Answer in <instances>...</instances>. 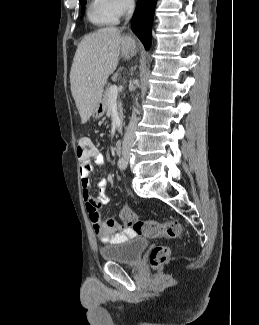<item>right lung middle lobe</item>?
<instances>
[{"instance_id": "dd1d6c3e", "label": "right lung middle lobe", "mask_w": 259, "mask_h": 325, "mask_svg": "<svg viewBox=\"0 0 259 325\" xmlns=\"http://www.w3.org/2000/svg\"><path fill=\"white\" fill-rule=\"evenodd\" d=\"M80 2L85 5L86 4V0H80ZM82 12H83V9H82Z\"/></svg>"}]
</instances>
